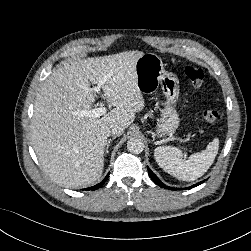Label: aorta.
<instances>
[{
  "instance_id": "aorta-1",
  "label": "aorta",
  "mask_w": 251,
  "mask_h": 251,
  "mask_svg": "<svg viewBox=\"0 0 251 251\" xmlns=\"http://www.w3.org/2000/svg\"><path fill=\"white\" fill-rule=\"evenodd\" d=\"M127 149L129 152L139 154L144 149V142L137 137H132L127 142Z\"/></svg>"
}]
</instances>
